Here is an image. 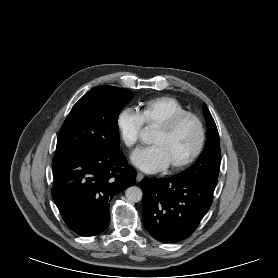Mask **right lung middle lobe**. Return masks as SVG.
I'll return each mask as SVG.
<instances>
[{
  "instance_id": "1",
  "label": "right lung middle lobe",
  "mask_w": 278,
  "mask_h": 278,
  "mask_svg": "<svg viewBox=\"0 0 278 278\" xmlns=\"http://www.w3.org/2000/svg\"><path fill=\"white\" fill-rule=\"evenodd\" d=\"M132 97L130 91L114 86H98L86 93L60 129L54 159L118 150V116Z\"/></svg>"
}]
</instances>
